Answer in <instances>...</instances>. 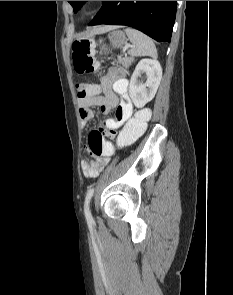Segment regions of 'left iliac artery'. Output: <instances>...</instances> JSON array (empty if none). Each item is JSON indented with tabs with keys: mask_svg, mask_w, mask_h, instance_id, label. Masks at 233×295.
Returning a JSON list of instances; mask_svg holds the SVG:
<instances>
[{
	"mask_svg": "<svg viewBox=\"0 0 233 295\" xmlns=\"http://www.w3.org/2000/svg\"><path fill=\"white\" fill-rule=\"evenodd\" d=\"M93 193H94V188H90L87 191L86 198H85V203H84V213H85V217H86V219L88 221L92 220V215H91V212L89 210V201L92 198Z\"/></svg>",
	"mask_w": 233,
	"mask_h": 295,
	"instance_id": "left-iliac-artery-1",
	"label": "left iliac artery"
}]
</instances>
